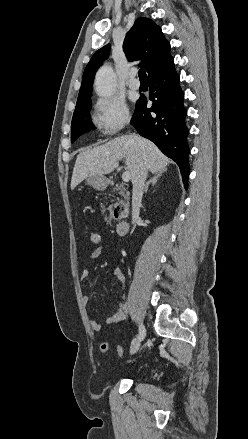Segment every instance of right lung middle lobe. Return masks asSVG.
I'll use <instances>...</instances> for the list:
<instances>
[{"mask_svg": "<svg viewBox=\"0 0 248 439\" xmlns=\"http://www.w3.org/2000/svg\"><path fill=\"white\" fill-rule=\"evenodd\" d=\"M91 100L86 101L82 106L75 109L71 123V142L77 140L83 133L95 129L91 122L89 111Z\"/></svg>", "mask_w": 248, "mask_h": 439, "instance_id": "dd1d6c3e", "label": "right lung middle lobe"}]
</instances>
